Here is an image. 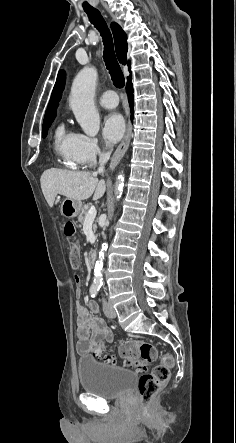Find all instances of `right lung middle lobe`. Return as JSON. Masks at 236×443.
<instances>
[{
    "label": "right lung middle lobe",
    "mask_w": 236,
    "mask_h": 443,
    "mask_svg": "<svg viewBox=\"0 0 236 443\" xmlns=\"http://www.w3.org/2000/svg\"><path fill=\"white\" fill-rule=\"evenodd\" d=\"M53 120H54V119H51V120H48V121L43 122V130H42L43 138L46 137L47 132H48V129H49V127L51 126Z\"/></svg>",
    "instance_id": "right-lung-middle-lobe-1"
}]
</instances>
